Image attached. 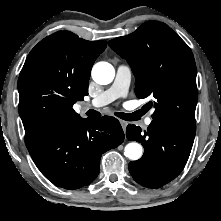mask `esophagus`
Instances as JSON below:
<instances>
[{
	"label": "esophagus",
	"mask_w": 221,
	"mask_h": 221,
	"mask_svg": "<svg viewBox=\"0 0 221 221\" xmlns=\"http://www.w3.org/2000/svg\"><path fill=\"white\" fill-rule=\"evenodd\" d=\"M120 123H121V126H122L123 130H125L127 125H128V122H126L124 120H120Z\"/></svg>",
	"instance_id": "34e87169"
}]
</instances>
